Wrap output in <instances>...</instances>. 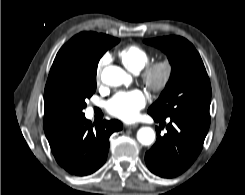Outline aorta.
Listing matches in <instances>:
<instances>
[{
	"mask_svg": "<svg viewBox=\"0 0 245 195\" xmlns=\"http://www.w3.org/2000/svg\"><path fill=\"white\" fill-rule=\"evenodd\" d=\"M101 79L106 85L114 87L131 81V77L122 68L114 65L103 69ZM137 139L142 145H151L155 140V132L151 127H141L137 132Z\"/></svg>",
	"mask_w": 245,
	"mask_h": 195,
	"instance_id": "762f6f07",
	"label": "aorta"
}]
</instances>
